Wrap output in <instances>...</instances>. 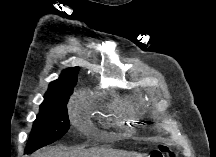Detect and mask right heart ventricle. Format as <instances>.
I'll return each mask as SVG.
<instances>
[{
  "instance_id": "1",
  "label": "right heart ventricle",
  "mask_w": 216,
  "mask_h": 157,
  "mask_svg": "<svg viewBox=\"0 0 216 157\" xmlns=\"http://www.w3.org/2000/svg\"><path fill=\"white\" fill-rule=\"evenodd\" d=\"M114 107L119 113L133 116L137 111V103L125 97H117L113 102Z\"/></svg>"
}]
</instances>
